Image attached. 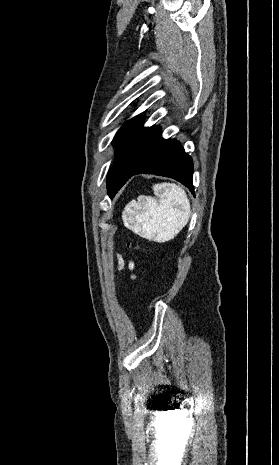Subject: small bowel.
Returning a JSON list of instances; mask_svg holds the SVG:
<instances>
[{
    "label": "small bowel",
    "instance_id": "obj_1",
    "mask_svg": "<svg viewBox=\"0 0 279 465\" xmlns=\"http://www.w3.org/2000/svg\"><path fill=\"white\" fill-rule=\"evenodd\" d=\"M117 259H118V269L122 270L124 268L125 262L121 256H117ZM127 266L130 271H133L135 268V264L133 261H129ZM132 278H134V275L132 276Z\"/></svg>",
    "mask_w": 279,
    "mask_h": 465
}]
</instances>
